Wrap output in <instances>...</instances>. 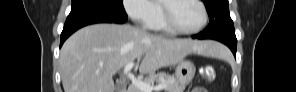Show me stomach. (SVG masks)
Masks as SVG:
<instances>
[{
	"label": "stomach",
	"mask_w": 296,
	"mask_h": 92,
	"mask_svg": "<svg viewBox=\"0 0 296 92\" xmlns=\"http://www.w3.org/2000/svg\"><path fill=\"white\" fill-rule=\"evenodd\" d=\"M196 67L189 60H181L176 67V79L180 85L186 86L189 84L194 75Z\"/></svg>",
	"instance_id": "1"
}]
</instances>
